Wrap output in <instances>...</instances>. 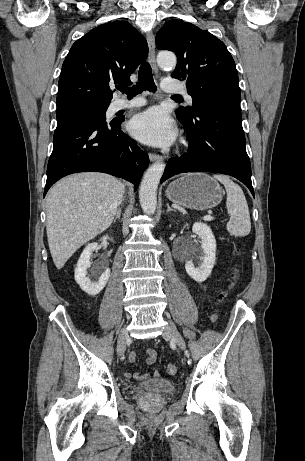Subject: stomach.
<instances>
[{
	"mask_svg": "<svg viewBox=\"0 0 305 461\" xmlns=\"http://www.w3.org/2000/svg\"><path fill=\"white\" fill-rule=\"evenodd\" d=\"M167 198L182 207L206 210L217 206L223 197L219 183L204 173H188L171 182Z\"/></svg>",
	"mask_w": 305,
	"mask_h": 461,
	"instance_id": "0dacf381",
	"label": "stomach"
}]
</instances>
